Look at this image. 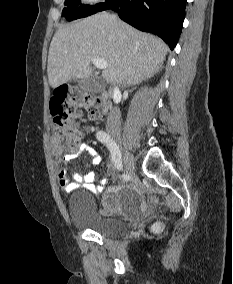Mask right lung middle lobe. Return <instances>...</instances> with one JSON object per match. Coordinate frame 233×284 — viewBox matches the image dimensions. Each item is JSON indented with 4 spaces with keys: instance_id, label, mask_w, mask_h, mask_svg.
Returning <instances> with one entry per match:
<instances>
[{
    "instance_id": "1",
    "label": "right lung middle lobe",
    "mask_w": 233,
    "mask_h": 284,
    "mask_svg": "<svg viewBox=\"0 0 233 284\" xmlns=\"http://www.w3.org/2000/svg\"><path fill=\"white\" fill-rule=\"evenodd\" d=\"M102 4L103 3L84 5L81 4L80 0H65V5H67L68 8L64 9L62 15L65 16L68 21L86 17L96 13Z\"/></svg>"
}]
</instances>
